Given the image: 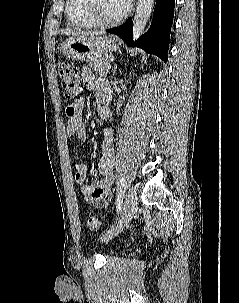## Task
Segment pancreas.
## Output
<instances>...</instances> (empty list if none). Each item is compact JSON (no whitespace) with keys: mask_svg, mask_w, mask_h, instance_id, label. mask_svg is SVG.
<instances>
[{"mask_svg":"<svg viewBox=\"0 0 239 303\" xmlns=\"http://www.w3.org/2000/svg\"><path fill=\"white\" fill-rule=\"evenodd\" d=\"M109 63V58H99L94 59L89 63V66L97 73L101 75H107L108 69L106 68V64Z\"/></svg>","mask_w":239,"mask_h":303,"instance_id":"obj_1","label":"pancreas"}]
</instances>
